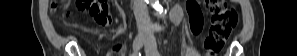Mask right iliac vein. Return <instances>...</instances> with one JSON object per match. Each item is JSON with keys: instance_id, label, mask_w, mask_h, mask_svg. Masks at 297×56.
Returning <instances> with one entry per match:
<instances>
[{"instance_id": "obj_1", "label": "right iliac vein", "mask_w": 297, "mask_h": 56, "mask_svg": "<svg viewBox=\"0 0 297 56\" xmlns=\"http://www.w3.org/2000/svg\"><path fill=\"white\" fill-rule=\"evenodd\" d=\"M147 42V38H145L144 36H138L133 43V50L135 52H138Z\"/></svg>"}]
</instances>
